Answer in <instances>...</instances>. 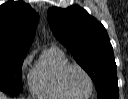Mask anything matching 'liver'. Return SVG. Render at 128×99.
<instances>
[{"instance_id": "6515ba94", "label": "liver", "mask_w": 128, "mask_h": 99, "mask_svg": "<svg viewBox=\"0 0 128 99\" xmlns=\"http://www.w3.org/2000/svg\"><path fill=\"white\" fill-rule=\"evenodd\" d=\"M0 99H7L4 93L0 92Z\"/></svg>"}]
</instances>
